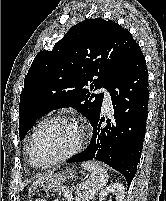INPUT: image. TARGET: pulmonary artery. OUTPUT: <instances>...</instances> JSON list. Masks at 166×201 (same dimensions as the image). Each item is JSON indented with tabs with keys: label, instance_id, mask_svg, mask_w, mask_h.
Segmentation results:
<instances>
[{
	"label": "pulmonary artery",
	"instance_id": "e3ab8cb5",
	"mask_svg": "<svg viewBox=\"0 0 166 201\" xmlns=\"http://www.w3.org/2000/svg\"><path fill=\"white\" fill-rule=\"evenodd\" d=\"M99 91L103 92L104 106L107 107V108H110L111 107V96H110V94L104 89H100Z\"/></svg>",
	"mask_w": 166,
	"mask_h": 201
}]
</instances>
